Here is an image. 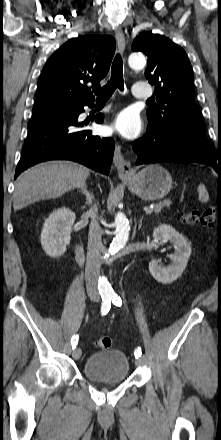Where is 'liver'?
<instances>
[{
    "instance_id": "1",
    "label": "liver",
    "mask_w": 221,
    "mask_h": 440,
    "mask_svg": "<svg viewBox=\"0 0 221 440\" xmlns=\"http://www.w3.org/2000/svg\"><path fill=\"white\" fill-rule=\"evenodd\" d=\"M89 175L87 167L69 161H51L31 167L15 182L14 210L40 200L55 199L73 188H80Z\"/></svg>"
}]
</instances>
